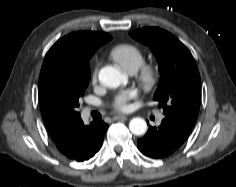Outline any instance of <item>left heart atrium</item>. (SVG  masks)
Segmentation results:
<instances>
[{
	"mask_svg": "<svg viewBox=\"0 0 236 187\" xmlns=\"http://www.w3.org/2000/svg\"><path fill=\"white\" fill-rule=\"evenodd\" d=\"M137 96L133 89L118 93L112 102V107L119 112H126L129 109V101Z\"/></svg>",
	"mask_w": 236,
	"mask_h": 187,
	"instance_id": "39dd6f15",
	"label": "left heart atrium"
}]
</instances>
